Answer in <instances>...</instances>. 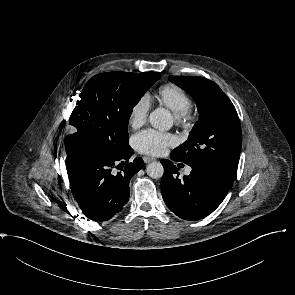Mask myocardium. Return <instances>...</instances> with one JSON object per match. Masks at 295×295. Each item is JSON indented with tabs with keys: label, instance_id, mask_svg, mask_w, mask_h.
<instances>
[{
	"label": "myocardium",
	"instance_id": "1",
	"mask_svg": "<svg viewBox=\"0 0 295 295\" xmlns=\"http://www.w3.org/2000/svg\"><path fill=\"white\" fill-rule=\"evenodd\" d=\"M193 119V113L191 108L184 113H174L175 123L178 125H186Z\"/></svg>",
	"mask_w": 295,
	"mask_h": 295
}]
</instances>
